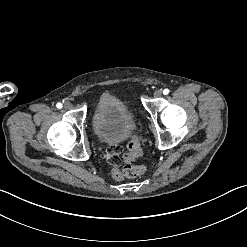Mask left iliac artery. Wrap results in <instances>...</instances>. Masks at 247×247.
<instances>
[{
    "label": "left iliac artery",
    "mask_w": 247,
    "mask_h": 247,
    "mask_svg": "<svg viewBox=\"0 0 247 247\" xmlns=\"http://www.w3.org/2000/svg\"><path fill=\"white\" fill-rule=\"evenodd\" d=\"M168 93H169V89H164V90H163V94H164V95H167Z\"/></svg>",
    "instance_id": "obj_1"
}]
</instances>
